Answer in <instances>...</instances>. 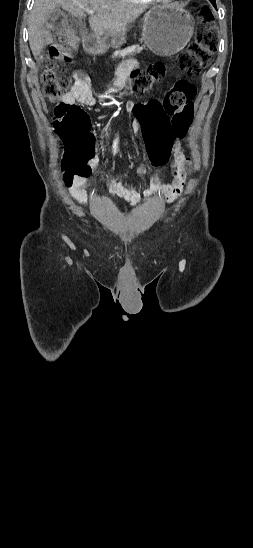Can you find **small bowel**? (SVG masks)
<instances>
[{
    "label": "small bowel",
    "instance_id": "c3829d8e",
    "mask_svg": "<svg viewBox=\"0 0 253 548\" xmlns=\"http://www.w3.org/2000/svg\"><path fill=\"white\" fill-rule=\"evenodd\" d=\"M137 69V63L135 61H126L120 65L117 70V78L113 82L110 92L116 93L130 77L131 73ZM73 85L70 91L64 95L63 101L67 104H84L87 106L96 105L97 100L93 96L90 88V79L88 75L83 71H76L72 74ZM138 103L129 101L127 103V109L135 113V108ZM170 156H172L171 174L173 180L168 183H162L159 174L152 175L147 180L148 187L143 193L138 192L134 187L124 185L117 175H112L109 178V191L112 197L122 199L130 205H137L140 203L143 197L149 198L155 194H160L167 202L175 201L184 191L186 184V175L182 169V162L184 160V152L181 145V137H175L172 139L170 145ZM99 166L97 159L92 160L91 167L96 168ZM136 173L143 177L147 173L145 164H140L136 168ZM87 181V176H79L74 178L68 184V190L74 200L84 206L88 201V194L84 186Z\"/></svg>",
    "mask_w": 253,
    "mask_h": 548
}]
</instances>
